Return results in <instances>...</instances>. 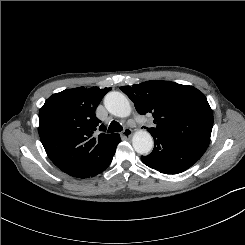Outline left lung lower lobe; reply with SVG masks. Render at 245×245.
Segmentation results:
<instances>
[{
  "label": "left lung lower lobe",
  "instance_id": "0a47b994",
  "mask_svg": "<svg viewBox=\"0 0 245 245\" xmlns=\"http://www.w3.org/2000/svg\"><path fill=\"white\" fill-rule=\"evenodd\" d=\"M154 149L147 156H141L142 162L164 174H178L195 164L207 147L169 136L152 134Z\"/></svg>",
  "mask_w": 245,
  "mask_h": 245
}]
</instances>
